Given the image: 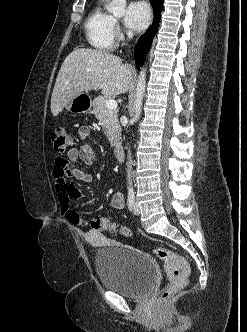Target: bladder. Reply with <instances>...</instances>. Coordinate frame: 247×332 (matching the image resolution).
Instances as JSON below:
<instances>
[{
    "label": "bladder",
    "instance_id": "31cf9c89",
    "mask_svg": "<svg viewBox=\"0 0 247 332\" xmlns=\"http://www.w3.org/2000/svg\"><path fill=\"white\" fill-rule=\"evenodd\" d=\"M95 268L101 284L123 297H144L156 281L152 258L142 250L126 244L99 249Z\"/></svg>",
    "mask_w": 247,
    "mask_h": 332
}]
</instances>
